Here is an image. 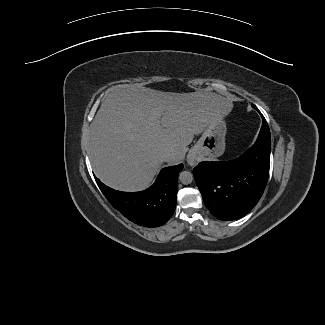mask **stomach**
Here are the masks:
<instances>
[{
	"label": "stomach",
	"instance_id": "0dacf381",
	"mask_svg": "<svg viewBox=\"0 0 325 325\" xmlns=\"http://www.w3.org/2000/svg\"><path fill=\"white\" fill-rule=\"evenodd\" d=\"M226 123L224 118L211 122L194 145L191 153L197 158L214 159L225 149Z\"/></svg>",
	"mask_w": 325,
	"mask_h": 325
}]
</instances>
